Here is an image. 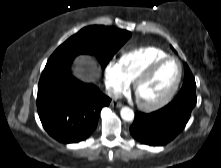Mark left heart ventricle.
Returning a JSON list of instances; mask_svg holds the SVG:
<instances>
[{"label": "left heart ventricle", "instance_id": "obj_1", "mask_svg": "<svg viewBox=\"0 0 221 168\" xmlns=\"http://www.w3.org/2000/svg\"><path fill=\"white\" fill-rule=\"evenodd\" d=\"M177 76L178 64L175 61L164 63L138 87L136 98L145 103L161 99L174 85Z\"/></svg>", "mask_w": 221, "mask_h": 168}]
</instances>
